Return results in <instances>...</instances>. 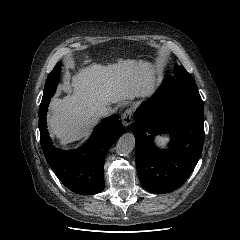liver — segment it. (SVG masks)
Segmentation results:
<instances>
[{"instance_id":"obj_1","label":"liver","mask_w":240,"mask_h":240,"mask_svg":"<svg viewBox=\"0 0 240 240\" xmlns=\"http://www.w3.org/2000/svg\"><path fill=\"white\" fill-rule=\"evenodd\" d=\"M156 83L153 67L145 61H119L102 66L82 67L71 78L72 95L53 98L48 124L51 132L62 143H70L88 135L97 119L91 110L94 103H119L145 97L152 93Z\"/></svg>"}]
</instances>
